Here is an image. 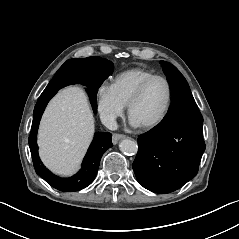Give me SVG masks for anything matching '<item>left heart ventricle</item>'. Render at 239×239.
<instances>
[{
  "label": "left heart ventricle",
  "mask_w": 239,
  "mask_h": 239,
  "mask_svg": "<svg viewBox=\"0 0 239 239\" xmlns=\"http://www.w3.org/2000/svg\"><path fill=\"white\" fill-rule=\"evenodd\" d=\"M167 86L164 81L152 82L132 111L139 125L155 121L164 111L167 102Z\"/></svg>",
  "instance_id": "1"
}]
</instances>
